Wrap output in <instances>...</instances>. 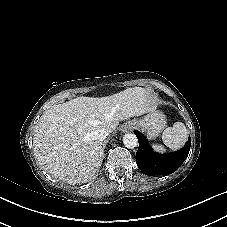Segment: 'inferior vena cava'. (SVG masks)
<instances>
[{
  "instance_id": "602c4592",
  "label": "inferior vena cava",
  "mask_w": 227,
  "mask_h": 227,
  "mask_svg": "<svg viewBox=\"0 0 227 227\" xmlns=\"http://www.w3.org/2000/svg\"><path fill=\"white\" fill-rule=\"evenodd\" d=\"M94 135L97 140L103 141L109 135V131L106 128H101L96 130Z\"/></svg>"
}]
</instances>
